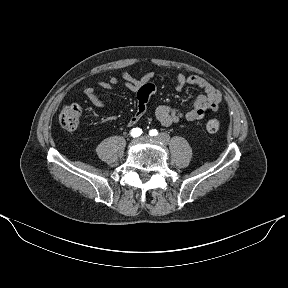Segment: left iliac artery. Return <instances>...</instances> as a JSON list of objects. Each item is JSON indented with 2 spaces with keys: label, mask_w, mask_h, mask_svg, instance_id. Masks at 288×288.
<instances>
[{
  "label": "left iliac artery",
  "mask_w": 288,
  "mask_h": 288,
  "mask_svg": "<svg viewBox=\"0 0 288 288\" xmlns=\"http://www.w3.org/2000/svg\"><path fill=\"white\" fill-rule=\"evenodd\" d=\"M157 132V130L156 129H151L150 131H149V134H150V136H155V133Z\"/></svg>",
  "instance_id": "obj_1"
}]
</instances>
